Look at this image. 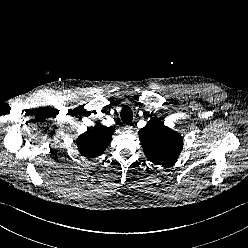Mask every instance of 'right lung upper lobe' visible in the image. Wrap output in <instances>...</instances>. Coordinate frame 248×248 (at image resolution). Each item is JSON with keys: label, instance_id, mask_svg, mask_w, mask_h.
<instances>
[{"label": "right lung upper lobe", "instance_id": "right-lung-upper-lobe-1", "mask_svg": "<svg viewBox=\"0 0 248 248\" xmlns=\"http://www.w3.org/2000/svg\"><path fill=\"white\" fill-rule=\"evenodd\" d=\"M115 129L97 123L77 138L79 152L87 158L101 155L111 142Z\"/></svg>", "mask_w": 248, "mask_h": 248}]
</instances>
